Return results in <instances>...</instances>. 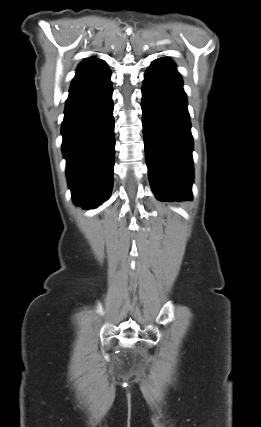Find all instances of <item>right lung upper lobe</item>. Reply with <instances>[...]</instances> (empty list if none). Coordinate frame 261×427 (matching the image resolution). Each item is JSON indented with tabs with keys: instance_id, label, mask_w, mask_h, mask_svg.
<instances>
[{
	"instance_id": "obj_1",
	"label": "right lung upper lobe",
	"mask_w": 261,
	"mask_h": 427,
	"mask_svg": "<svg viewBox=\"0 0 261 427\" xmlns=\"http://www.w3.org/2000/svg\"><path fill=\"white\" fill-rule=\"evenodd\" d=\"M103 65H105V63L101 59H98L95 57L88 58L78 66L76 76H79L87 72H90L92 70H95L97 68H100Z\"/></svg>"
}]
</instances>
